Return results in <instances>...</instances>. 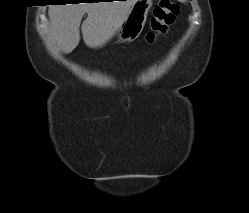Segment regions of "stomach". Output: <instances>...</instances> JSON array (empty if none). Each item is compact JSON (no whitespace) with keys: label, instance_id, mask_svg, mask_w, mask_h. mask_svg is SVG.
<instances>
[{"label":"stomach","instance_id":"obj_1","mask_svg":"<svg viewBox=\"0 0 249 213\" xmlns=\"http://www.w3.org/2000/svg\"><path fill=\"white\" fill-rule=\"evenodd\" d=\"M151 7L152 0H136L132 4L125 20L117 29L120 42L133 41L141 34Z\"/></svg>","mask_w":249,"mask_h":213}]
</instances>
